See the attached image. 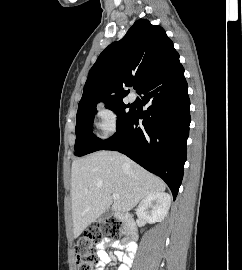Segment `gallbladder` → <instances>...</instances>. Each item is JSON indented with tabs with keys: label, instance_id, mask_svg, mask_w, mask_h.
Returning a JSON list of instances; mask_svg holds the SVG:
<instances>
[{
	"label": "gallbladder",
	"instance_id": "gallbladder-1",
	"mask_svg": "<svg viewBox=\"0 0 242 270\" xmlns=\"http://www.w3.org/2000/svg\"><path fill=\"white\" fill-rule=\"evenodd\" d=\"M111 215H112V209H110V207H109L104 213H102L100 215L99 221L103 222V221L109 219L111 217Z\"/></svg>",
	"mask_w": 242,
	"mask_h": 270
}]
</instances>
